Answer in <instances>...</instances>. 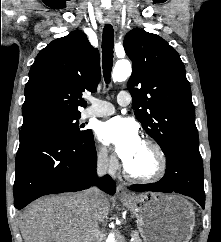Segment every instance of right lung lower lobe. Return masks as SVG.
<instances>
[{"label":"right lung lower lobe","mask_w":221,"mask_h":242,"mask_svg":"<svg viewBox=\"0 0 221 242\" xmlns=\"http://www.w3.org/2000/svg\"><path fill=\"white\" fill-rule=\"evenodd\" d=\"M96 163L92 132L73 138L51 129L20 131L14 206L20 210L43 195L81 191L95 184L113 195L114 180L108 175L97 179Z\"/></svg>","instance_id":"98d812e1"}]
</instances>
